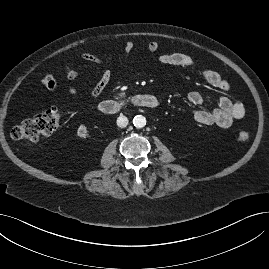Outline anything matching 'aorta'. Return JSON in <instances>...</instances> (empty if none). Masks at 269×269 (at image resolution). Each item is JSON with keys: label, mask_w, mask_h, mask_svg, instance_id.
<instances>
[{"label": "aorta", "mask_w": 269, "mask_h": 269, "mask_svg": "<svg viewBox=\"0 0 269 269\" xmlns=\"http://www.w3.org/2000/svg\"><path fill=\"white\" fill-rule=\"evenodd\" d=\"M133 124L136 128H143L146 125V118L142 115H136L133 118Z\"/></svg>", "instance_id": "obj_1"}]
</instances>
